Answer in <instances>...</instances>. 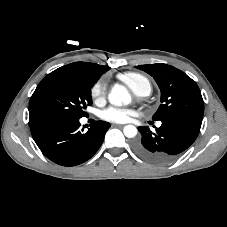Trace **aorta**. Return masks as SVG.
I'll use <instances>...</instances> for the list:
<instances>
[{
	"mask_svg": "<svg viewBox=\"0 0 227 227\" xmlns=\"http://www.w3.org/2000/svg\"><path fill=\"white\" fill-rule=\"evenodd\" d=\"M108 100L115 106L127 105L131 102V96L125 86L117 84L111 89ZM123 133L126 137L133 138L137 135V128L134 125H126Z\"/></svg>",
	"mask_w": 227,
	"mask_h": 227,
	"instance_id": "1",
	"label": "aorta"
}]
</instances>
